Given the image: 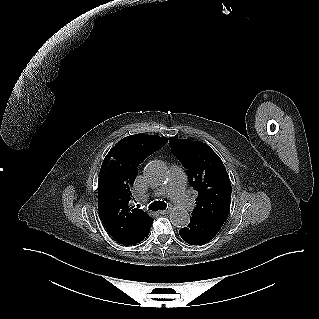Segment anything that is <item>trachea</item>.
<instances>
[{
  "mask_svg": "<svg viewBox=\"0 0 319 319\" xmlns=\"http://www.w3.org/2000/svg\"><path fill=\"white\" fill-rule=\"evenodd\" d=\"M137 206L140 207V205H137ZM166 207L167 205L164 201H154L149 205L148 209L152 211H157V210H165Z\"/></svg>",
  "mask_w": 319,
  "mask_h": 319,
  "instance_id": "trachea-1",
  "label": "trachea"
}]
</instances>
